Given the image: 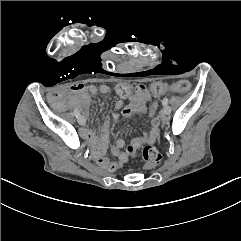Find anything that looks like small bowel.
<instances>
[{
	"label": "small bowel",
	"instance_id": "obj_1",
	"mask_svg": "<svg viewBox=\"0 0 241 241\" xmlns=\"http://www.w3.org/2000/svg\"><path fill=\"white\" fill-rule=\"evenodd\" d=\"M66 92H70L76 95L74 102L75 108L83 114L88 112L90 97L98 94H108V85H89L74 84L69 86L63 95V99L66 101ZM61 95L60 90L55 89L49 91L46 94V98L49 101L59 98ZM152 97H160L158 94L153 95L148 92L147 87L144 84H137L134 87L133 94L129 97L130 103L125 104L122 101L117 103V108L121 111L125 118H130L133 113L144 114L149 119L150 127L142 135L134 137L125 148V142L122 139H118L112 147V154L119 158L121 162H127L129 157L133 155L142 145L153 144L160 134V120L156 116L157 106L151 101ZM110 121L108 118L104 119L101 134L97 138L93 131L89 129H83L81 134L88 139L94 146L95 153L97 154L96 161L99 165L105 168L110 167V161L103 157L105 153L107 143L109 141Z\"/></svg>",
	"mask_w": 241,
	"mask_h": 241
}]
</instances>
